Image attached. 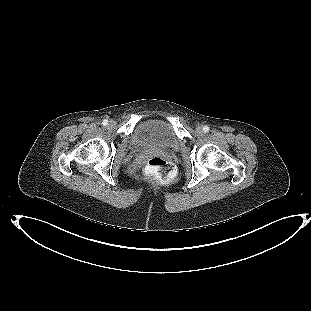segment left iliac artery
I'll list each match as a JSON object with an SVG mask.
<instances>
[{"instance_id": "obj_1", "label": "left iliac artery", "mask_w": 311, "mask_h": 311, "mask_svg": "<svg viewBox=\"0 0 311 311\" xmlns=\"http://www.w3.org/2000/svg\"><path fill=\"white\" fill-rule=\"evenodd\" d=\"M203 131H204L205 133L209 132V127H208L207 125H205V126L203 127Z\"/></svg>"}]
</instances>
